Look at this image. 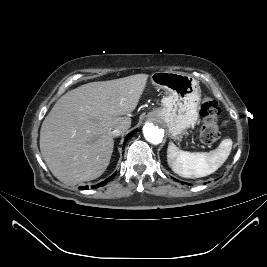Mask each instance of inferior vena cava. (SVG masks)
I'll return each instance as SVG.
<instances>
[{
    "instance_id": "obj_1",
    "label": "inferior vena cava",
    "mask_w": 267,
    "mask_h": 267,
    "mask_svg": "<svg viewBox=\"0 0 267 267\" xmlns=\"http://www.w3.org/2000/svg\"><path fill=\"white\" fill-rule=\"evenodd\" d=\"M127 129L126 126L124 125H119V126H116L112 129L111 131V134L113 137H117L119 136L120 134H122L125 130Z\"/></svg>"
}]
</instances>
